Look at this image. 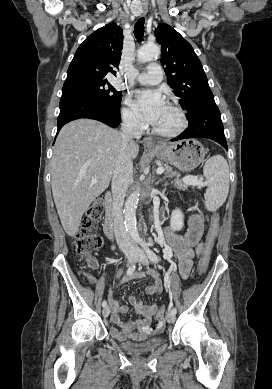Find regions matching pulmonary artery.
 Masks as SVG:
<instances>
[{"instance_id": "e3ab8cb5", "label": "pulmonary artery", "mask_w": 272, "mask_h": 389, "mask_svg": "<svg viewBox=\"0 0 272 389\" xmlns=\"http://www.w3.org/2000/svg\"><path fill=\"white\" fill-rule=\"evenodd\" d=\"M136 80L141 84H157L163 78V71L158 63H149L146 70L135 76Z\"/></svg>"}]
</instances>
